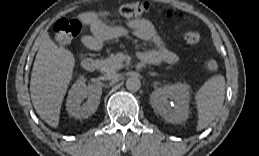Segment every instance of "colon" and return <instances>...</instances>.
Wrapping results in <instances>:
<instances>
[{
  "instance_id": "5ec220e1",
  "label": "colon",
  "mask_w": 259,
  "mask_h": 156,
  "mask_svg": "<svg viewBox=\"0 0 259 156\" xmlns=\"http://www.w3.org/2000/svg\"><path fill=\"white\" fill-rule=\"evenodd\" d=\"M117 12L125 18H139L141 16L151 14L152 8L148 3H126L120 5L117 8ZM158 13L170 20H178L183 17L180 12L172 8H166ZM81 28V22L76 19L58 20L54 25L56 43L61 47L71 44L79 35ZM183 38L188 43H197L200 39V35L196 31H186L183 33ZM204 68L207 72L213 73L217 70L218 64L216 60L210 58L205 60Z\"/></svg>"
}]
</instances>
